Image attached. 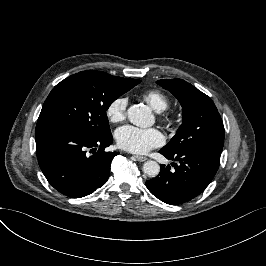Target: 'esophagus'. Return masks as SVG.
<instances>
[{
    "label": "esophagus",
    "instance_id": "esophagus-1",
    "mask_svg": "<svg viewBox=\"0 0 266 266\" xmlns=\"http://www.w3.org/2000/svg\"><path fill=\"white\" fill-rule=\"evenodd\" d=\"M134 158L137 160V161H140V162H144L147 160V157L145 156H140V155H134Z\"/></svg>",
    "mask_w": 266,
    "mask_h": 266
}]
</instances>
